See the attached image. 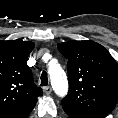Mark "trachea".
Listing matches in <instances>:
<instances>
[{
	"label": "trachea",
	"instance_id": "3493384b",
	"mask_svg": "<svg viewBox=\"0 0 118 118\" xmlns=\"http://www.w3.org/2000/svg\"><path fill=\"white\" fill-rule=\"evenodd\" d=\"M48 85V76L45 71L42 72L41 74V84L40 86H47Z\"/></svg>",
	"mask_w": 118,
	"mask_h": 118
}]
</instances>
